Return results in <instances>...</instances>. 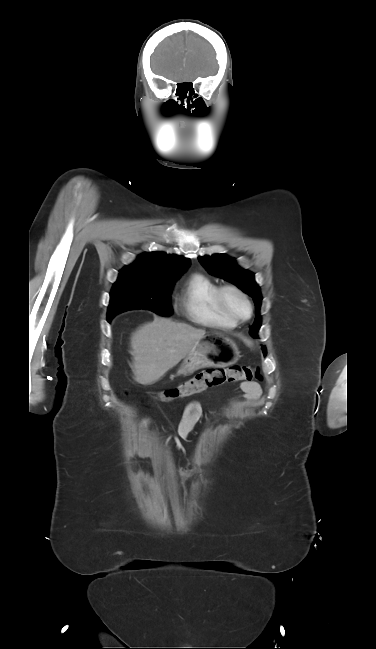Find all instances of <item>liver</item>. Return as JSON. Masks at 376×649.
<instances>
[{"instance_id":"6515ba94","label":"liver","mask_w":376,"mask_h":649,"mask_svg":"<svg viewBox=\"0 0 376 649\" xmlns=\"http://www.w3.org/2000/svg\"><path fill=\"white\" fill-rule=\"evenodd\" d=\"M205 330L168 318L156 317L131 336L134 380L142 385L157 382L189 353Z\"/></svg>"}]
</instances>
